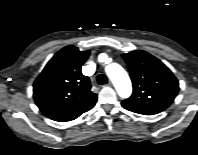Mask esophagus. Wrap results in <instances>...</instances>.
<instances>
[{"label": "esophagus", "instance_id": "obj_1", "mask_svg": "<svg viewBox=\"0 0 198 155\" xmlns=\"http://www.w3.org/2000/svg\"><path fill=\"white\" fill-rule=\"evenodd\" d=\"M107 85L111 87V86H113V82L109 81Z\"/></svg>", "mask_w": 198, "mask_h": 155}]
</instances>
